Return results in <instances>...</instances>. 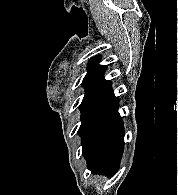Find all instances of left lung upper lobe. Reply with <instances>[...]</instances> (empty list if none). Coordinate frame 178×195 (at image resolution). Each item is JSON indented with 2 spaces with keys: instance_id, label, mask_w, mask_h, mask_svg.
I'll list each match as a JSON object with an SVG mask.
<instances>
[{
  "instance_id": "obj_1",
  "label": "left lung upper lobe",
  "mask_w": 178,
  "mask_h": 195,
  "mask_svg": "<svg viewBox=\"0 0 178 195\" xmlns=\"http://www.w3.org/2000/svg\"><path fill=\"white\" fill-rule=\"evenodd\" d=\"M101 57L95 56L88 63V72L82 81L85 96L80 105L81 126L88 124L93 118L107 108L115 99L111 81L103 78L106 66L99 65Z\"/></svg>"
}]
</instances>
